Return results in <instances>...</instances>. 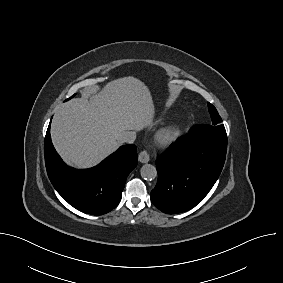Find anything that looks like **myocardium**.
<instances>
[{
    "label": "myocardium",
    "instance_id": "1",
    "mask_svg": "<svg viewBox=\"0 0 283 283\" xmlns=\"http://www.w3.org/2000/svg\"><path fill=\"white\" fill-rule=\"evenodd\" d=\"M181 131L177 125H167L156 134V141L161 146H169L180 137Z\"/></svg>",
    "mask_w": 283,
    "mask_h": 283
}]
</instances>
